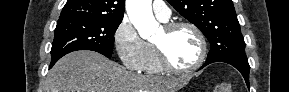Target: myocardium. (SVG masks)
I'll list each match as a JSON object with an SVG mask.
<instances>
[{
	"label": "myocardium",
	"mask_w": 289,
	"mask_h": 92,
	"mask_svg": "<svg viewBox=\"0 0 289 92\" xmlns=\"http://www.w3.org/2000/svg\"><path fill=\"white\" fill-rule=\"evenodd\" d=\"M179 28L191 29L198 38L200 44V54L195 64L187 68H179L174 66L168 59L164 49L158 44L153 43L154 49L157 54L158 61L163 70L174 74H188L198 70L205 62L208 52L207 40L202 30L194 23L189 21H173L164 25L166 32L171 33Z\"/></svg>",
	"instance_id": "1"
}]
</instances>
